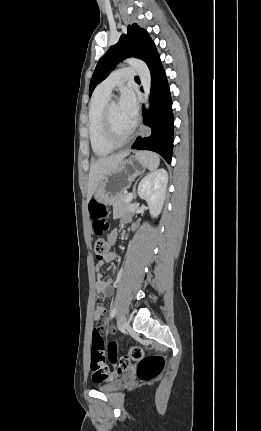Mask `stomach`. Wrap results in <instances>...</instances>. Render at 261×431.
I'll return each mask as SVG.
<instances>
[{"label": "stomach", "instance_id": "obj_1", "mask_svg": "<svg viewBox=\"0 0 261 431\" xmlns=\"http://www.w3.org/2000/svg\"><path fill=\"white\" fill-rule=\"evenodd\" d=\"M145 168L138 154L123 159L115 171L103 177L94 193L96 201L105 206L112 204L115 197L128 189Z\"/></svg>", "mask_w": 261, "mask_h": 431}]
</instances>
